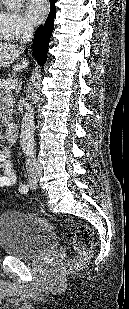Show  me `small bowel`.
I'll return each mask as SVG.
<instances>
[{
    "label": "small bowel",
    "mask_w": 129,
    "mask_h": 309,
    "mask_svg": "<svg viewBox=\"0 0 129 309\" xmlns=\"http://www.w3.org/2000/svg\"><path fill=\"white\" fill-rule=\"evenodd\" d=\"M16 183V173L10 162V154L0 149V188L11 187Z\"/></svg>",
    "instance_id": "small-bowel-1"
}]
</instances>
